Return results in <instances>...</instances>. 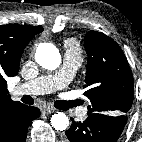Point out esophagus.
I'll return each mask as SVG.
<instances>
[{"label": "esophagus", "instance_id": "34e87169", "mask_svg": "<svg viewBox=\"0 0 142 142\" xmlns=\"http://www.w3.org/2000/svg\"><path fill=\"white\" fill-rule=\"evenodd\" d=\"M54 111H55V109L52 107H44L42 109V113L46 114V115H49V114L53 113Z\"/></svg>", "mask_w": 142, "mask_h": 142}]
</instances>
